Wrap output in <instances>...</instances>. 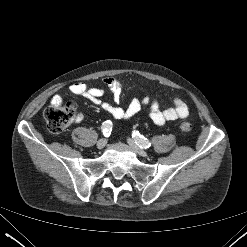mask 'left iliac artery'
I'll return each instance as SVG.
<instances>
[{
    "label": "left iliac artery",
    "mask_w": 247,
    "mask_h": 247,
    "mask_svg": "<svg viewBox=\"0 0 247 247\" xmlns=\"http://www.w3.org/2000/svg\"><path fill=\"white\" fill-rule=\"evenodd\" d=\"M132 137L135 139L136 144L139 145L140 148L147 149L151 146L149 140H147L144 136L140 135L138 131H134Z\"/></svg>",
    "instance_id": "1"
}]
</instances>
